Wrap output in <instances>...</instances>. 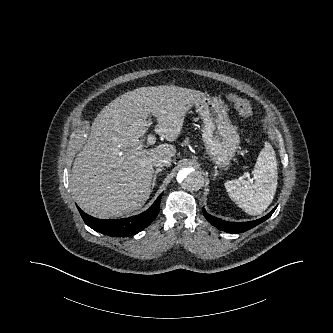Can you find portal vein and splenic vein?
Returning a JSON list of instances; mask_svg holds the SVG:
<instances>
[{
	"instance_id": "portal-vein-and-splenic-vein-1",
	"label": "portal vein and splenic vein",
	"mask_w": 333,
	"mask_h": 333,
	"mask_svg": "<svg viewBox=\"0 0 333 333\" xmlns=\"http://www.w3.org/2000/svg\"><path fill=\"white\" fill-rule=\"evenodd\" d=\"M147 141L149 144L152 145L156 142V137L154 135H150V136H148Z\"/></svg>"
}]
</instances>
